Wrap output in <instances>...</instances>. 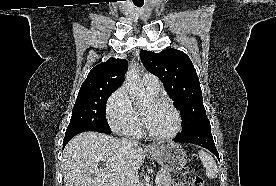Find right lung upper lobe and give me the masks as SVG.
Wrapping results in <instances>:
<instances>
[{
	"instance_id": "cb5924a9",
	"label": "right lung upper lobe",
	"mask_w": 276,
	"mask_h": 186,
	"mask_svg": "<svg viewBox=\"0 0 276 186\" xmlns=\"http://www.w3.org/2000/svg\"><path fill=\"white\" fill-rule=\"evenodd\" d=\"M128 68L125 59L110 58L104 63L96 65L83 82L80 91L88 89L116 90L122 84Z\"/></svg>"
}]
</instances>
